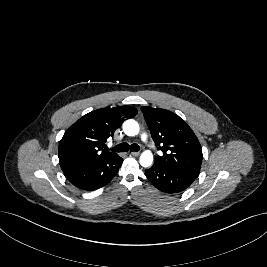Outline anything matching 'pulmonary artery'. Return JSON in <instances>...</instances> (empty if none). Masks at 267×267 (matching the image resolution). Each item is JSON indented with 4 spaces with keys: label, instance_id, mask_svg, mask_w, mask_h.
Here are the masks:
<instances>
[{
    "label": "pulmonary artery",
    "instance_id": "1",
    "mask_svg": "<svg viewBox=\"0 0 267 267\" xmlns=\"http://www.w3.org/2000/svg\"><path fill=\"white\" fill-rule=\"evenodd\" d=\"M141 139H142L144 142H147V135H146V133H143V134L141 135Z\"/></svg>",
    "mask_w": 267,
    "mask_h": 267
}]
</instances>
